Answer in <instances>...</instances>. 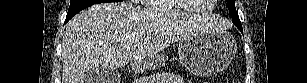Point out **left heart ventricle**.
I'll return each instance as SVG.
<instances>
[{
	"instance_id": "obj_1",
	"label": "left heart ventricle",
	"mask_w": 307,
	"mask_h": 83,
	"mask_svg": "<svg viewBox=\"0 0 307 83\" xmlns=\"http://www.w3.org/2000/svg\"><path fill=\"white\" fill-rule=\"evenodd\" d=\"M186 2H188V3H190V4H193L194 5V7H196V8H202V7H206L207 5H202V4H200V3H202V2H200V0H186Z\"/></svg>"
}]
</instances>
